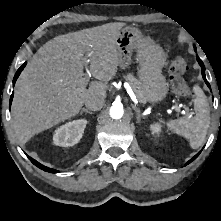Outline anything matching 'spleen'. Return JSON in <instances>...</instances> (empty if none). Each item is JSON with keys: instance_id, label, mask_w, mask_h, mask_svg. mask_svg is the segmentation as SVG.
Wrapping results in <instances>:
<instances>
[{"instance_id": "obj_1", "label": "spleen", "mask_w": 221, "mask_h": 221, "mask_svg": "<svg viewBox=\"0 0 221 221\" xmlns=\"http://www.w3.org/2000/svg\"><path fill=\"white\" fill-rule=\"evenodd\" d=\"M194 90V116L170 120L166 123L167 129L177 135L184 136L193 149L199 148L207 135L210 124V109L207 98L198 86Z\"/></svg>"}]
</instances>
